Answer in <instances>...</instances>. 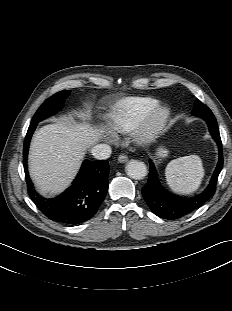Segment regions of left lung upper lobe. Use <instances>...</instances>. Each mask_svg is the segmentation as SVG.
I'll return each mask as SVG.
<instances>
[{
	"label": "left lung upper lobe",
	"instance_id": "5c2ea615",
	"mask_svg": "<svg viewBox=\"0 0 232 311\" xmlns=\"http://www.w3.org/2000/svg\"><path fill=\"white\" fill-rule=\"evenodd\" d=\"M207 112H211V110L205 104H203L201 101L197 99L192 113L199 114V113H207Z\"/></svg>",
	"mask_w": 232,
	"mask_h": 311
}]
</instances>
